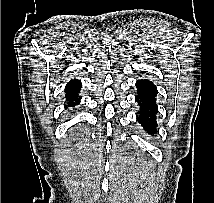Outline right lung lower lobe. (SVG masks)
<instances>
[{
    "instance_id": "right-lung-lower-lobe-1",
    "label": "right lung lower lobe",
    "mask_w": 214,
    "mask_h": 203,
    "mask_svg": "<svg viewBox=\"0 0 214 203\" xmlns=\"http://www.w3.org/2000/svg\"><path fill=\"white\" fill-rule=\"evenodd\" d=\"M81 88V82L77 79L72 80L69 82L65 87V97L68 101V106L74 107L76 104H78L79 96L78 92ZM65 108H67V105H65Z\"/></svg>"
}]
</instances>
